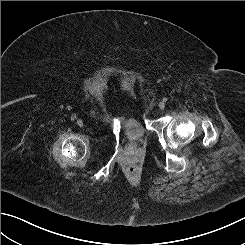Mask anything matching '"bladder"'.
Returning a JSON list of instances; mask_svg holds the SVG:
<instances>
[{"label": "bladder", "mask_w": 245, "mask_h": 245, "mask_svg": "<svg viewBox=\"0 0 245 245\" xmlns=\"http://www.w3.org/2000/svg\"><path fill=\"white\" fill-rule=\"evenodd\" d=\"M125 133L137 140H142L145 136V129L139 125V120L136 118H130L124 125Z\"/></svg>", "instance_id": "1"}]
</instances>
